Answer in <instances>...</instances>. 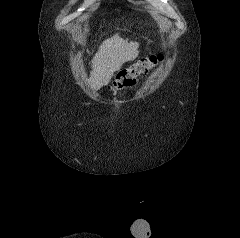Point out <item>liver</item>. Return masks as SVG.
Wrapping results in <instances>:
<instances>
[{
  "mask_svg": "<svg viewBox=\"0 0 240 238\" xmlns=\"http://www.w3.org/2000/svg\"><path fill=\"white\" fill-rule=\"evenodd\" d=\"M138 47L137 42H128L119 34L104 40L92 60V71L88 79L90 87L98 90L107 85L114 72L120 70L125 62L136 59Z\"/></svg>",
  "mask_w": 240,
  "mask_h": 238,
  "instance_id": "obj_1",
  "label": "liver"
}]
</instances>
